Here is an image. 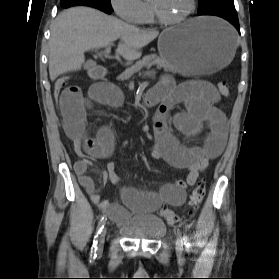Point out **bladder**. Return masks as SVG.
<instances>
[{
    "instance_id": "obj_1",
    "label": "bladder",
    "mask_w": 279,
    "mask_h": 279,
    "mask_svg": "<svg viewBox=\"0 0 279 279\" xmlns=\"http://www.w3.org/2000/svg\"><path fill=\"white\" fill-rule=\"evenodd\" d=\"M126 238L138 240H157L166 233L165 223L154 215L129 216L128 221L118 226Z\"/></svg>"
}]
</instances>
